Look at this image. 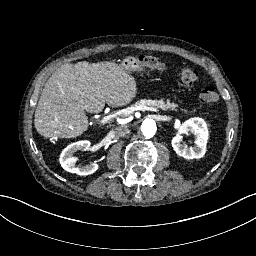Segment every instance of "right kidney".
<instances>
[{
    "label": "right kidney",
    "instance_id": "obj_1",
    "mask_svg": "<svg viewBox=\"0 0 256 256\" xmlns=\"http://www.w3.org/2000/svg\"><path fill=\"white\" fill-rule=\"evenodd\" d=\"M90 145L91 143L88 140H81L68 145L62 151L59 158L62 168L70 173H76L77 175L81 176L93 174L98 169V165L96 163H90L85 166H76L75 163L77 158L73 157L74 152L78 150H89Z\"/></svg>",
    "mask_w": 256,
    "mask_h": 256
}]
</instances>
